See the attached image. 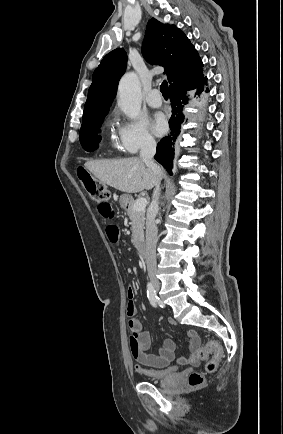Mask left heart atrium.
Listing matches in <instances>:
<instances>
[{
	"label": "left heart atrium",
	"instance_id": "obj_1",
	"mask_svg": "<svg viewBox=\"0 0 283 434\" xmlns=\"http://www.w3.org/2000/svg\"><path fill=\"white\" fill-rule=\"evenodd\" d=\"M167 122L163 114L157 113L152 121V130L156 135H162L166 132Z\"/></svg>",
	"mask_w": 283,
	"mask_h": 434
}]
</instances>
